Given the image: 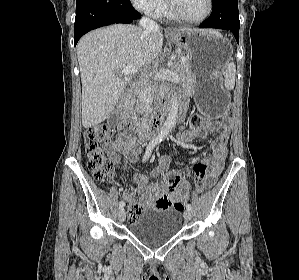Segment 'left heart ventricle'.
Instances as JSON below:
<instances>
[{
  "label": "left heart ventricle",
  "mask_w": 299,
  "mask_h": 280,
  "mask_svg": "<svg viewBox=\"0 0 299 280\" xmlns=\"http://www.w3.org/2000/svg\"><path fill=\"white\" fill-rule=\"evenodd\" d=\"M178 10L188 18L202 17L207 10V0H173Z\"/></svg>",
  "instance_id": "b2bd125f"
}]
</instances>
